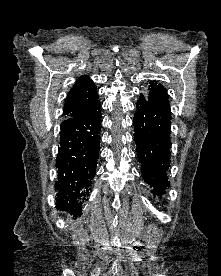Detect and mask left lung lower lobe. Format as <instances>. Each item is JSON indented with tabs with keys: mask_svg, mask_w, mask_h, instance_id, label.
<instances>
[{
	"mask_svg": "<svg viewBox=\"0 0 221 276\" xmlns=\"http://www.w3.org/2000/svg\"><path fill=\"white\" fill-rule=\"evenodd\" d=\"M136 106L133 123L142 177L154 195H162L170 184L171 113L149 102L143 94Z\"/></svg>",
	"mask_w": 221,
	"mask_h": 276,
	"instance_id": "0a47b994",
	"label": "left lung lower lobe"
}]
</instances>
